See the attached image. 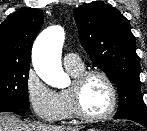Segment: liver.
Here are the masks:
<instances>
[{
  "label": "liver",
  "instance_id": "1",
  "mask_svg": "<svg viewBox=\"0 0 147 131\" xmlns=\"http://www.w3.org/2000/svg\"><path fill=\"white\" fill-rule=\"evenodd\" d=\"M80 127L52 126L21 121L13 114L0 113V131H79Z\"/></svg>",
  "mask_w": 147,
  "mask_h": 131
}]
</instances>
